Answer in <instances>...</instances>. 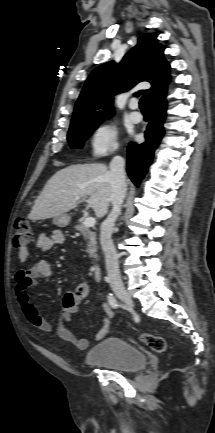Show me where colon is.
<instances>
[{"label":"colon","instance_id":"1","mask_svg":"<svg viewBox=\"0 0 215 433\" xmlns=\"http://www.w3.org/2000/svg\"><path fill=\"white\" fill-rule=\"evenodd\" d=\"M33 242V231L30 223L24 218H18L14 224L13 247L24 248ZM142 341L153 351L163 353L167 350L166 340L162 336L145 334Z\"/></svg>","mask_w":215,"mask_h":433}]
</instances>
